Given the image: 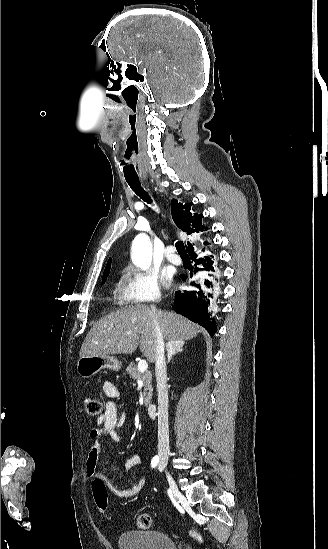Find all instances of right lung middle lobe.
I'll use <instances>...</instances> for the list:
<instances>
[{
	"label": "right lung middle lobe",
	"mask_w": 328,
	"mask_h": 549,
	"mask_svg": "<svg viewBox=\"0 0 328 549\" xmlns=\"http://www.w3.org/2000/svg\"><path fill=\"white\" fill-rule=\"evenodd\" d=\"M108 274H109V271L104 273L102 283H104L106 281Z\"/></svg>",
	"instance_id": "1"
}]
</instances>
